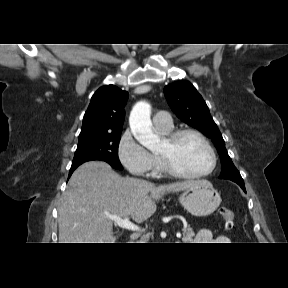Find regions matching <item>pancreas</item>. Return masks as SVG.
<instances>
[{
    "mask_svg": "<svg viewBox=\"0 0 288 288\" xmlns=\"http://www.w3.org/2000/svg\"><path fill=\"white\" fill-rule=\"evenodd\" d=\"M183 238H182V241L184 243H188V242H191L193 240V237L195 235V233L193 232L192 228L190 227H185L183 229Z\"/></svg>",
    "mask_w": 288,
    "mask_h": 288,
    "instance_id": "1",
    "label": "pancreas"
}]
</instances>
